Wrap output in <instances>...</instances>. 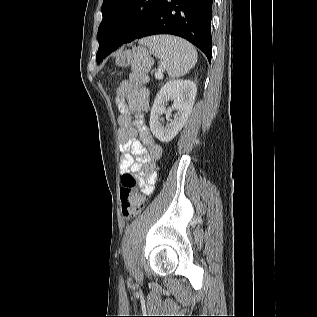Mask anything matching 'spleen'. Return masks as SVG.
I'll return each instance as SVG.
<instances>
[{
	"label": "spleen",
	"mask_w": 317,
	"mask_h": 317,
	"mask_svg": "<svg viewBox=\"0 0 317 317\" xmlns=\"http://www.w3.org/2000/svg\"><path fill=\"white\" fill-rule=\"evenodd\" d=\"M140 43L152 50L155 57L161 60V67L167 71L170 78L185 75L197 62L196 49L179 37L153 36L142 39Z\"/></svg>",
	"instance_id": "spleen-1"
}]
</instances>
